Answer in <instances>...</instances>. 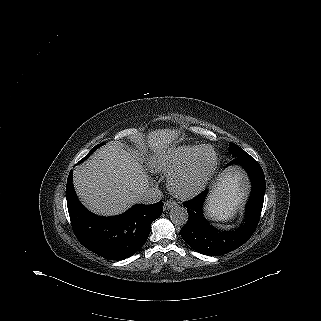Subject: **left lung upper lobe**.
<instances>
[{
    "label": "left lung upper lobe",
    "instance_id": "5c2ea615",
    "mask_svg": "<svg viewBox=\"0 0 321 321\" xmlns=\"http://www.w3.org/2000/svg\"><path fill=\"white\" fill-rule=\"evenodd\" d=\"M229 151L234 158L247 154L242 148L231 142L229 143Z\"/></svg>",
    "mask_w": 321,
    "mask_h": 321
}]
</instances>
